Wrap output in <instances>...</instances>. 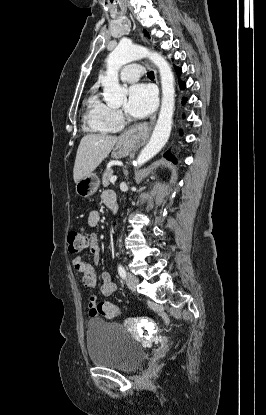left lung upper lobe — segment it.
I'll list each match as a JSON object with an SVG mask.
<instances>
[{
  "label": "left lung upper lobe",
  "instance_id": "left-lung-upper-lobe-1",
  "mask_svg": "<svg viewBox=\"0 0 266 415\" xmlns=\"http://www.w3.org/2000/svg\"><path fill=\"white\" fill-rule=\"evenodd\" d=\"M145 34H146L147 36H149V35H148V33H147L146 31H145Z\"/></svg>",
  "mask_w": 266,
  "mask_h": 415
}]
</instances>
